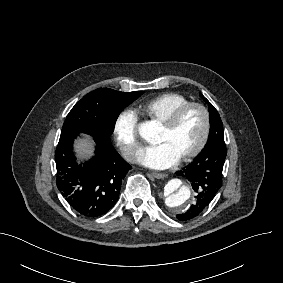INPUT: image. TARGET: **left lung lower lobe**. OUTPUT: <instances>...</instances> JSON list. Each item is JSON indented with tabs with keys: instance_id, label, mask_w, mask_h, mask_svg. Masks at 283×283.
Returning <instances> with one entry per match:
<instances>
[{
	"instance_id": "obj_1",
	"label": "left lung lower lobe",
	"mask_w": 283,
	"mask_h": 283,
	"mask_svg": "<svg viewBox=\"0 0 283 283\" xmlns=\"http://www.w3.org/2000/svg\"><path fill=\"white\" fill-rule=\"evenodd\" d=\"M227 149L224 141L209 142L200 155L177 175L186 177L196 196L190 209L176 217L181 221L193 219L208 207L222 185V171Z\"/></svg>"
}]
</instances>
